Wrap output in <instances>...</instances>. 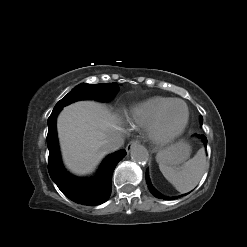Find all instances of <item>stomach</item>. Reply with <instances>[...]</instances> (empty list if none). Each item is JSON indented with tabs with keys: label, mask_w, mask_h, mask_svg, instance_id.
I'll use <instances>...</instances> for the list:
<instances>
[{
	"label": "stomach",
	"mask_w": 247,
	"mask_h": 247,
	"mask_svg": "<svg viewBox=\"0 0 247 247\" xmlns=\"http://www.w3.org/2000/svg\"><path fill=\"white\" fill-rule=\"evenodd\" d=\"M191 147L187 142L180 141L160 152L159 160H164L169 166L178 165L190 156Z\"/></svg>",
	"instance_id": "0dacf381"
}]
</instances>
